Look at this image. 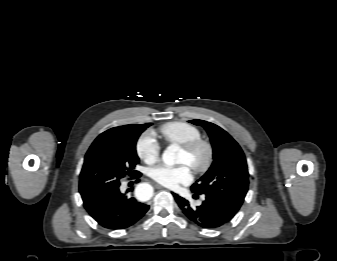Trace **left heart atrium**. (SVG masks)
<instances>
[{"label": "left heart atrium", "instance_id": "obj_1", "mask_svg": "<svg viewBox=\"0 0 337 261\" xmlns=\"http://www.w3.org/2000/svg\"><path fill=\"white\" fill-rule=\"evenodd\" d=\"M150 177L157 183L174 188L179 184H187L192 180V174L187 164L179 166L157 165L149 170Z\"/></svg>", "mask_w": 337, "mask_h": 261}]
</instances>
